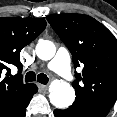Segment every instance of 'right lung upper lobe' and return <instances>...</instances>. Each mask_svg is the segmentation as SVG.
<instances>
[{"label": "right lung upper lobe", "instance_id": "1", "mask_svg": "<svg viewBox=\"0 0 117 117\" xmlns=\"http://www.w3.org/2000/svg\"><path fill=\"white\" fill-rule=\"evenodd\" d=\"M45 27L44 18H0V115L15 106L30 90L32 83L24 84L19 74L11 75L9 66L22 67L21 49Z\"/></svg>", "mask_w": 117, "mask_h": 117}]
</instances>
